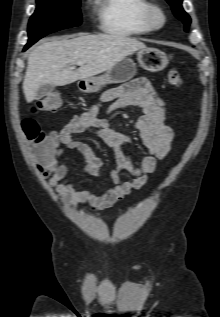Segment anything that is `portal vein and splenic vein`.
I'll return each instance as SVG.
<instances>
[{"mask_svg": "<svg viewBox=\"0 0 220 317\" xmlns=\"http://www.w3.org/2000/svg\"><path fill=\"white\" fill-rule=\"evenodd\" d=\"M77 65H78V66H81V65H83V63L79 62V63H77Z\"/></svg>", "mask_w": 220, "mask_h": 317, "instance_id": "obj_1", "label": "portal vein and splenic vein"}]
</instances>
